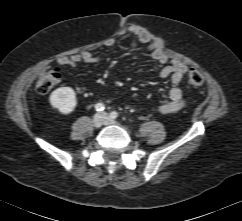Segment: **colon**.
Returning a JSON list of instances; mask_svg holds the SVG:
<instances>
[{
	"label": "colon",
	"instance_id": "colon-1",
	"mask_svg": "<svg viewBox=\"0 0 242 221\" xmlns=\"http://www.w3.org/2000/svg\"><path fill=\"white\" fill-rule=\"evenodd\" d=\"M61 78L60 70L56 67L45 70L36 83L39 93L45 94L51 91ZM189 84L192 87H199L203 84V75L197 69H191L188 75Z\"/></svg>",
	"mask_w": 242,
	"mask_h": 221
}]
</instances>
